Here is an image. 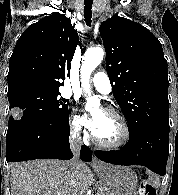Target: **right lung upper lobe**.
<instances>
[{"mask_svg": "<svg viewBox=\"0 0 178 195\" xmlns=\"http://www.w3.org/2000/svg\"><path fill=\"white\" fill-rule=\"evenodd\" d=\"M79 42L71 20L54 13L30 25L10 58L8 96L29 89L59 90Z\"/></svg>", "mask_w": 178, "mask_h": 195, "instance_id": "right-lung-upper-lobe-1", "label": "right lung upper lobe"}]
</instances>
